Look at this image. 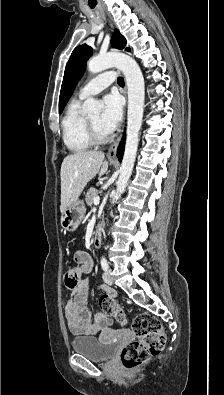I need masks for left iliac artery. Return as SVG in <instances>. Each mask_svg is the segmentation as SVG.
<instances>
[{
  "label": "left iliac artery",
  "mask_w": 224,
  "mask_h": 395,
  "mask_svg": "<svg viewBox=\"0 0 224 395\" xmlns=\"http://www.w3.org/2000/svg\"><path fill=\"white\" fill-rule=\"evenodd\" d=\"M101 267L104 271H107L109 269V265L105 257L101 258Z\"/></svg>",
  "instance_id": "obj_1"
}]
</instances>
